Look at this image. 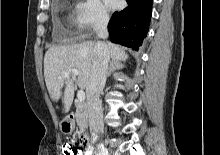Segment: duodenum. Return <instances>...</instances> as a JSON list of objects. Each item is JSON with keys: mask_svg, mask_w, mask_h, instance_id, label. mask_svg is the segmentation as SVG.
<instances>
[{"mask_svg": "<svg viewBox=\"0 0 220 155\" xmlns=\"http://www.w3.org/2000/svg\"><path fill=\"white\" fill-rule=\"evenodd\" d=\"M68 118H71V116H68ZM88 140H89V137L86 136L87 145L85 146V152H86V155H91L92 154V149L88 144Z\"/></svg>", "mask_w": 220, "mask_h": 155, "instance_id": "obj_1", "label": "duodenum"}]
</instances>
